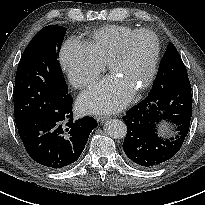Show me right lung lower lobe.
<instances>
[{
	"instance_id": "right-lung-lower-lobe-1",
	"label": "right lung lower lobe",
	"mask_w": 205,
	"mask_h": 205,
	"mask_svg": "<svg viewBox=\"0 0 205 205\" xmlns=\"http://www.w3.org/2000/svg\"><path fill=\"white\" fill-rule=\"evenodd\" d=\"M70 95L41 108L18 126L27 153L51 170L71 167L81 155L90 132L97 126L92 117L73 120Z\"/></svg>"
}]
</instances>
